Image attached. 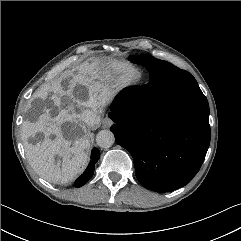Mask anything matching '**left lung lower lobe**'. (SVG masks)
Here are the masks:
<instances>
[{
    "instance_id": "obj_1",
    "label": "left lung lower lobe",
    "mask_w": 241,
    "mask_h": 241,
    "mask_svg": "<svg viewBox=\"0 0 241 241\" xmlns=\"http://www.w3.org/2000/svg\"><path fill=\"white\" fill-rule=\"evenodd\" d=\"M167 79L150 74L147 85L124 89L111 104L110 130L130 152L147 189L169 192L188 184L210 144L209 105L199 87L170 93Z\"/></svg>"
}]
</instances>
